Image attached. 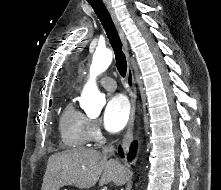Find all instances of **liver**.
Returning a JSON list of instances; mask_svg holds the SVG:
<instances>
[{
    "label": "liver",
    "mask_w": 221,
    "mask_h": 190,
    "mask_svg": "<svg viewBox=\"0 0 221 190\" xmlns=\"http://www.w3.org/2000/svg\"><path fill=\"white\" fill-rule=\"evenodd\" d=\"M127 179V170L120 162L80 147L49 157L41 190H59L63 186L89 189L98 181L100 186L109 182L121 186Z\"/></svg>",
    "instance_id": "1"
}]
</instances>
